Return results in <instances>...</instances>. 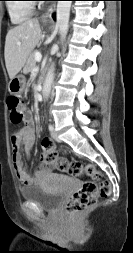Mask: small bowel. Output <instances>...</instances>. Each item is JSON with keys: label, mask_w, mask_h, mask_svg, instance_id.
I'll return each mask as SVG.
<instances>
[{"label": "small bowel", "mask_w": 133, "mask_h": 253, "mask_svg": "<svg viewBox=\"0 0 133 253\" xmlns=\"http://www.w3.org/2000/svg\"><path fill=\"white\" fill-rule=\"evenodd\" d=\"M35 138L34 121L31 113L27 112L24 126L16 131L11 137L15 173L19 182L23 185H32L39 182L52 170L51 163L45 161L43 153L37 171L33 175L28 173L23 161V153L26 156L30 154L35 143Z\"/></svg>", "instance_id": "obj_1"}]
</instances>
